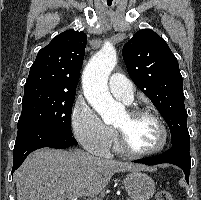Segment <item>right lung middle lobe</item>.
Masks as SVG:
<instances>
[{
	"mask_svg": "<svg viewBox=\"0 0 201 200\" xmlns=\"http://www.w3.org/2000/svg\"><path fill=\"white\" fill-rule=\"evenodd\" d=\"M75 95L54 91H31L24 93L18 128L43 123L64 132L72 133L70 127Z\"/></svg>",
	"mask_w": 201,
	"mask_h": 200,
	"instance_id": "right-lung-middle-lobe-1",
	"label": "right lung middle lobe"
}]
</instances>
